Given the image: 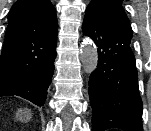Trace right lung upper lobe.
I'll use <instances>...</instances> for the list:
<instances>
[{"instance_id":"1","label":"right lung upper lobe","mask_w":151,"mask_h":131,"mask_svg":"<svg viewBox=\"0 0 151 131\" xmlns=\"http://www.w3.org/2000/svg\"><path fill=\"white\" fill-rule=\"evenodd\" d=\"M58 23L50 0H18L8 15L0 57V87L39 70L56 47Z\"/></svg>"}]
</instances>
